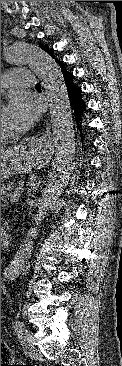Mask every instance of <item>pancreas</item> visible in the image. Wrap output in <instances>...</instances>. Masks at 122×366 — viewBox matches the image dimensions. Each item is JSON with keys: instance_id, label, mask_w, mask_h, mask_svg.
I'll return each instance as SVG.
<instances>
[{"instance_id": "pancreas-1", "label": "pancreas", "mask_w": 122, "mask_h": 366, "mask_svg": "<svg viewBox=\"0 0 122 366\" xmlns=\"http://www.w3.org/2000/svg\"><path fill=\"white\" fill-rule=\"evenodd\" d=\"M21 188H16L15 190H20ZM14 186L12 184L1 185V200H5L9 195H11Z\"/></svg>"}]
</instances>
